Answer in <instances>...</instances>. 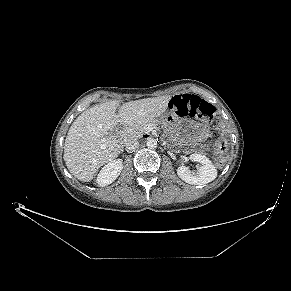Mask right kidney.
Instances as JSON below:
<instances>
[{"mask_svg": "<svg viewBox=\"0 0 291 291\" xmlns=\"http://www.w3.org/2000/svg\"><path fill=\"white\" fill-rule=\"evenodd\" d=\"M123 168L121 159L112 160L107 163L100 171L97 177L99 186H107L111 184L120 175Z\"/></svg>", "mask_w": 291, "mask_h": 291, "instance_id": "ca27d5eb", "label": "right kidney"}]
</instances>
